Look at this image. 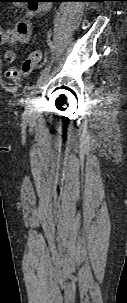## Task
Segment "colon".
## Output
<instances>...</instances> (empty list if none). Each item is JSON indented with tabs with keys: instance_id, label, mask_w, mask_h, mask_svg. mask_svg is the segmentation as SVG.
Wrapping results in <instances>:
<instances>
[{
	"instance_id": "colon-1",
	"label": "colon",
	"mask_w": 127,
	"mask_h": 303,
	"mask_svg": "<svg viewBox=\"0 0 127 303\" xmlns=\"http://www.w3.org/2000/svg\"><path fill=\"white\" fill-rule=\"evenodd\" d=\"M41 59L40 52L31 53L22 63L21 67H10L6 71V78L12 82H18L24 75H27Z\"/></svg>"
}]
</instances>
